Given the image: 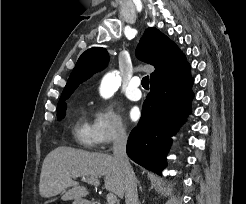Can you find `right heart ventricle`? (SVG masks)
<instances>
[{
    "mask_svg": "<svg viewBox=\"0 0 246 204\" xmlns=\"http://www.w3.org/2000/svg\"><path fill=\"white\" fill-rule=\"evenodd\" d=\"M72 133L76 142L81 146L92 148L96 145L93 126L83 110L77 113Z\"/></svg>",
    "mask_w": 246,
    "mask_h": 204,
    "instance_id": "1",
    "label": "right heart ventricle"
}]
</instances>
